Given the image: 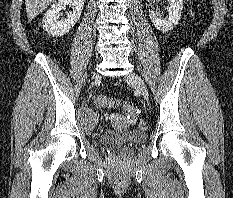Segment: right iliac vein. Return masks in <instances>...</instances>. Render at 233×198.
Segmentation results:
<instances>
[{
	"label": "right iliac vein",
	"instance_id": "obj_1",
	"mask_svg": "<svg viewBox=\"0 0 233 198\" xmlns=\"http://www.w3.org/2000/svg\"><path fill=\"white\" fill-rule=\"evenodd\" d=\"M93 76H94V77H97V74H94Z\"/></svg>",
	"mask_w": 233,
	"mask_h": 198
}]
</instances>
